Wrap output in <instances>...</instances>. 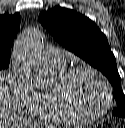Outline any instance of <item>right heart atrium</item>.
Returning <instances> with one entry per match:
<instances>
[{
	"label": "right heart atrium",
	"instance_id": "d8ad5b80",
	"mask_svg": "<svg viewBox=\"0 0 125 128\" xmlns=\"http://www.w3.org/2000/svg\"><path fill=\"white\" fill-rule=\"evenodd\" d=\"M7 78L12 105L20 111L30 112L37 100L39 91L25 74L15 69L8 73Z\"/></svg>",
	"mask_w": 125,
	"mask_h": 128
}]
</instances>
